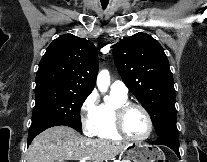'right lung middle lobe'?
Instances as JSON below:
<instances>
[{
    "mask_svg": "<svg viewBox=\"0 0 207 162\" xmlns=\"http://www.w3.org/2000/svg\"><path fill=\"white\" fill-rule=\"evenodd\" d=\"M88 95L58 87L36 88L32 123L55 120L81 131L80 108Z\"/></svg>",
    "mask_w": 207,
    "mask_h": 162,
    "instance_id": "obj_1",
    "label": "right lung middle lobe"
}]
</instances>
